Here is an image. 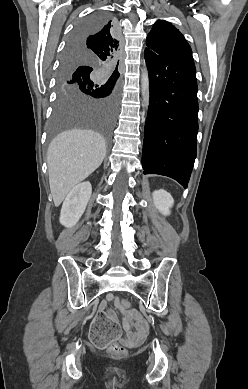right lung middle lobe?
<instances>
[{
	"mask_svg": "<svg viewBox=\"0 0 248 389\" xmlns=\"http://www.w3.org/2000/svg\"><path fill=\"white\" fill-rule=\"evenodd\" d=\"M107 22L109 17L106 13L91 14L76 27L68 45L98 31ZM76 70L85 72L75 75ZM118 94L117 77L110 76L109 68L88 62L87 57L81 54L70 56L64 53L50 137L54 138L71 128H93L109 141Z\"/></svg>",
	"mask_w": 248,
	"mask_h": 389,
	"instance_id": "1",
	"label": "right lung middle lobe"
}]
</instances>
